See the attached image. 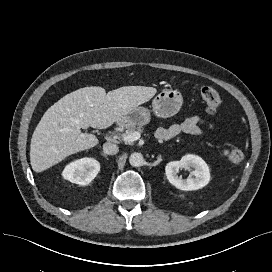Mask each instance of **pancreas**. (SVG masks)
<instances>
[{"instance_id":"cf45deb5","label":"pancreas","mask_w":272,"mask_h":272,"mask_svg":"<svg viewBox=\"0 0 272 272\" xmlns=\"http://www.w3.org/2000/svg\"><path fill=\"white\" fill-rule=\"evenodd\" d=\"M143 130L142 126H127V130L126 132L124 133L125 135H128L130 133H133L135 131H139L141 132Z\"/></svg>"}]
</instances>
